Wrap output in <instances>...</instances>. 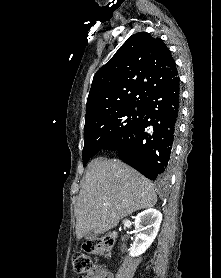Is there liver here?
Wrapping results in <instances>:
<instances>
[{
	"mask_svg": "<svg viewBox=\"0 0 221 278\" xmlns=\"http://www.w3.org/2000/svg\"><path fill=\"white\" fill-rule=\"evenodd\" d=\"M156 202L153 184L136 170L118 159L96 158L87 167L76 203V236L102 234Z\"/></svg>",
	"mask_w": 221,
	"mask_h": 278,
	"instance_id": "liver-1",
	"label": "liver"
}]
</instances>
